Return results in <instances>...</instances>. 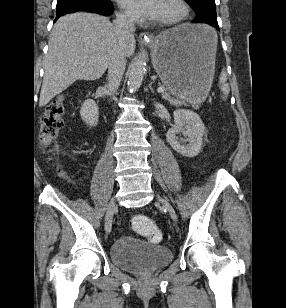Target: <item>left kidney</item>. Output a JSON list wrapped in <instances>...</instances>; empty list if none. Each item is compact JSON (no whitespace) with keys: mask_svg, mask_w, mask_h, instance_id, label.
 <instances>
[{"mask_svg":"<svg viewBox=\"0 0 286 308\" xmlns=\"http://www.w3.org/2000/svg\"><path fill=\"white\" fill-rule=\"evenodd\" d=\"M173 116L174 125L166 134L167 142L177 153L185 157L198 155L205 131V126L199 115L191 110L177 109ZM180 133L187 137L189 144L186 145L185 140L178 137Z\"/></svg>","mask_w":286,"mask_h":308,"instance_id":"left-kidney-1","label":"left kidney"}]
</instances>
